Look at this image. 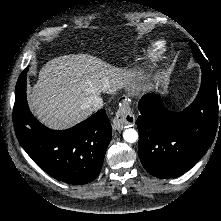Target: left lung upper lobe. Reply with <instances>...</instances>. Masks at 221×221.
<instances>
[{
  "label": "left lung upper lobe",
  "mask_w": 221,
  "mask_h": 221,
  "mask_svg": "<svg viewBox=\"0 0 221 221\" xmlns=\"http://www.w3.org/2000/svg\"><path fill=\"white\" fill-rule=\"evenodd\" d=\"M191 47L193 51L194 58L199 62V63H208L207 60L204 58L198 47L191 42ZM209 64V63H208Z\"/></svg>",
  "instance_id": "left-lung-upper-lobe-1"
}]
</instances>
